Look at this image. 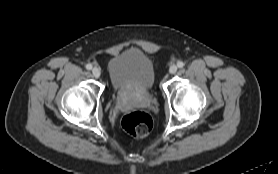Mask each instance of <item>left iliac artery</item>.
Instances as JSON below:
<instances>
[{"label": "left iliac artery", "mask_w": 278, "mask_h": 174, "mask_svg": "<svg viewBox=\"0 0 278 174\" xmlns=\"http://www.w3.org/2000/svg\"><path fill=\"white\" fill-rule=\"evenodd\" d=\"M177 66H178L179 68H182V67L184 66V63H183L182 61H178V62H177Z\"/></svg>", "instance_id": "1"}]
</instances>
